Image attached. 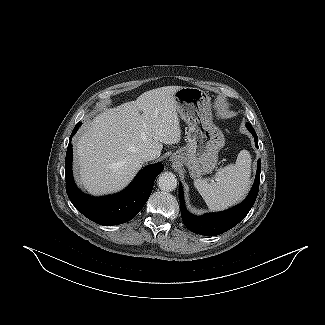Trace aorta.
Wrapping results in <instances>:
<instances>
[{
	"instance_id": "1",
	"label": "aorta",
	"mask_w": 325,
	"mask_h": 325,
	"mask_svg": "<svg viewBox=\"0 0 325 325\" xmlns=\"http://www.w3.org/2000/svg\"><path fill=\"white\" fill-rule=\"evenodd\" d=\"M158 187L162 191H173L177 187V178L176 176L171 172H162L158 176Z\"/></svg>"
}]
</instances>
